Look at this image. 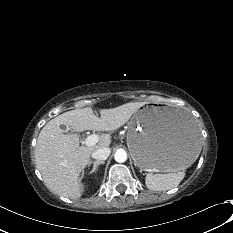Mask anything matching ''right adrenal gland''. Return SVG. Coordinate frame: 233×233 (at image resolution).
I'll list each match as a JSON object with an SVG mask.
<instances>
[{
    "instance_id": "2a0ac1e0",
    "label": "right adrenal gland",
    "mask_w": 233,
    "mask_h": 233,
    "mask_svg": "<svg viewBox=\"0 0 233 233\" xmlns=\"http://www.w3.org/2000/svg\"><path fill=\"white\" fill-rule=\"evenodd\" d=\"M105 162L104 161H90L89 162V165L93 164V168L91 170V173H94L97 169V167L100 165V164H104Z\"/></svg>"
}]
</instances>
